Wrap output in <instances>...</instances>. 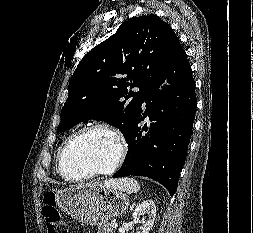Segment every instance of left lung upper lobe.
I'll list each match as a JSON object with an SVG mask.
<instances>
[{
	"mask_svg": "<svg viewBox=\"0 0 253 233\" xmlns=\"http://www.w3.org/2000/svg\"><path fill=\"white\" fill-rule=\"evenodd\" d=\"M178 44L172 28L154 14L124 22L78 64L57 132L94 118L126 137L147 90L163 76ZM133 87L140 90L130 91Z\"/></svg>",
	"mask_w": 253,
	"mask_h": 233,
	"instance_id": "1",
	"label": "left lung upper lobe"
}]
</instances>
